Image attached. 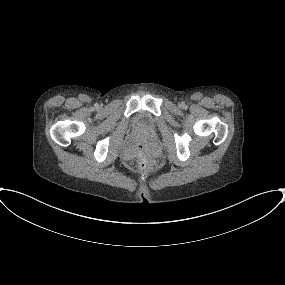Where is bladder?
Returning a JSON list of instances; mask_svg holds the SVG:
<instances>
[{"mask_svg": "<svg viewBox=\"0 0 285 285\" xmlns=\"http://www.w3.org/2000/svg\"><path fill=\"white\" fill-rule=\"evenodd\" d=\"M154 127V122L148 116H146L143 112L137 114L135 123H134V131L137 134L147 132Z\"/></svg>", "mask_w": 285, "mask_h": 285, "instance_id": "31cf9c89", "label": "bladder"}]
</instances>
